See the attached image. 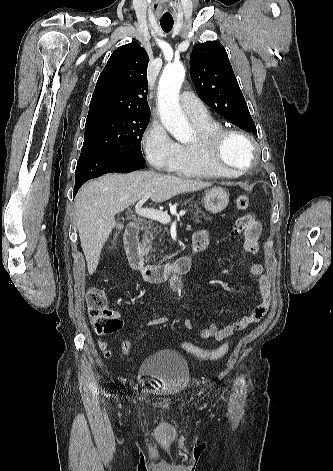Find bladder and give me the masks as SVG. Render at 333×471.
<instances>
[{"instance_id":"1","label":"bladder","mask_w":333,"mask_h":471,"mask_svg":"<svg viewBox=\"0 0 333 471\" xmlns=\"http://www.w3.org/2000/svg\"><path fill=\"white\" fill-rule=\"evenodd\" d=\"M142 378H153L160 384L159 393L176 396L184 392L190 381V370L185 357L174 350H159L146 357L138 368Z\"/></svg>"}]
</instances>
